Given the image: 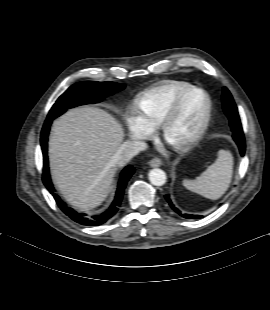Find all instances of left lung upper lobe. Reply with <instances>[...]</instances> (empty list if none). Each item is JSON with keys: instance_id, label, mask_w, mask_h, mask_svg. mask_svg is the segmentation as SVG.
<instances>
[{"instance_id": "obj_1", "label": "left lung upper lobe", "mask_w": 270, "mask_h": 310, "mask_svg": "<svg viewBox=\"0 0 270 310\" xmlns=\"http://www.w3.org/2000/svg\"><path fill=\"white\" fill-rule=\"evenodd\" d=\"M223 110L229 119V124L233 132V138L243 137V130L235 102L227 88H223L222 95Z\"/></svg>"}]
</instances>
